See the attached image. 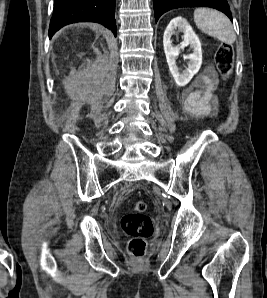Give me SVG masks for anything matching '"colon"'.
Wrapping results in <instances>:
<instances>
[{"label":"colon","instance_id":"obj_1","mask_svg":"<svg viewBox=\"0 0 267 298\" xmlns=\"http://www.w3.org/2000/svg\"><path fill=\"white\" fill-rule=\"evenodd\" d=\"M215 62L222 78H228L234 63L232 45L227 43L221 44L216 52ZM145 211L146 203L142 200L135 201L132 205V211L125 213L120 222L123 232L130 238L128 251L135 259H140L144 256L147 240L154 231L152 219Z\"/></svg>","mask_w":267,"mask_h":298}]
</instances>
